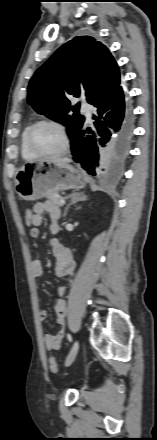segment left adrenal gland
<instances>
[{
  "label": "left adrenal gland",
  "mask_w": 157,
  "mask_h": 440,
  "mask_svg": "<svg viewBox=\"0 0 157 440\" xmlns=\"http://www.w3.org/2000/svg\"><path fill=\"white\" fill-rule=\"evenodd\" d=\"M86 199H87V196L84 195L83 193H73L71 195V202L67 205V207L64 210L63 217H66L67 211H68V209L70 208L71 205H74V204H76L77 202H80V201H85Z\"/></svg>",
  "instance_id": "obj_1"
}]
</instances>
